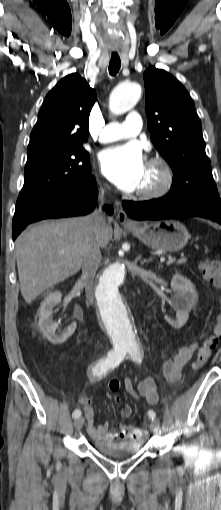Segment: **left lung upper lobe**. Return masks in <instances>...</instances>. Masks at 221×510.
Segmentation results:
<instances>
[{"label":"left lung upper lobe","instance_id":"5c2ea615","mask_svg":"<svg viewBox=\"0 0 221 510\" xmlns=\"http://www.w3.org/2000/svg\"><path fill=\"white\" fill-rule=\"evenodd\" d=\"M144 83L151 140L174 173L172 187L164 197L220 202L201 121L190 95L176 78L155 67L144 72Z\"/></svg>","mask_w":221,"mask_h":510}]
</instances>
